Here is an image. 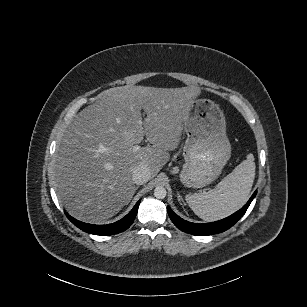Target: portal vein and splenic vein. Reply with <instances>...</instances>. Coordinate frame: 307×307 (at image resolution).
Returning a JSON list of instances; mask_svg holds the SVG:
<instances>
[{
	"mask_svg": "<svg viewBox=\"0 0 307 307\" xmlns=\"http://www.w3.org/2000/svg\"><path fill=\"white\" fill-rule=\"evenodd\" d=\"M140 149V146L139 145H134L133 146V148H132V150H133V152H136V151H138ZM97 152H101V150L99 149V150H97Z\"/></svg>",
	"mask_w": 307,
	"mask_h": 307,
	"instance_id": "portal-vein-and-splenic-vein-1",
	"label": "portal vein and splenic vein"
}]
</instances>
